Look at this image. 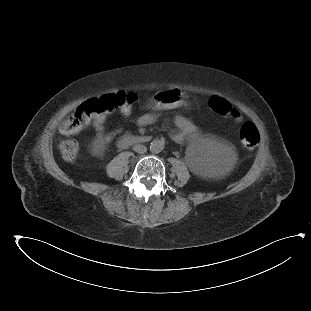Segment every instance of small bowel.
<instances>
[{"mask_svg":"<svg viewBox=\"0 0 311 311\" xmlns=\"http://www.w3.org/2000/svg\"><path fill=\"white\" fill-rule=\"evenodd\" d=\"M159 117L160 113L157 111L147 112L137 118V123L141 126H148L156 122ZM106 119V113L97 114L96 116H94L92 124L97 136L105 142H110L114 139L116 133L114 131H105ZM174 121L178 129L173 134V139L177 143H194L202 138L201 130L189 118L183 115H175Z\"/></svg>","mask_w":311,"mask_h":311,"instance_id":"small-bowel-1","label":"small bowel"}]
</instances>
